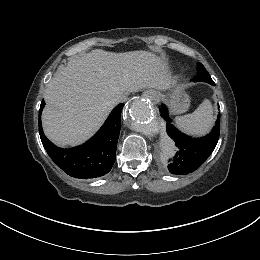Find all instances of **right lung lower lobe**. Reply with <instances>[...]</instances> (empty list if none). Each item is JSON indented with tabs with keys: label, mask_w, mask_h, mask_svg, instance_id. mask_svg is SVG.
Returning <instances> with one entry per match:
<instances>
[{
	"label": "right lung lower lobe",
	"mask_w": 260,
	"mask_h": 260,
	"mask_svg": "<svg viewBox=\"0 0 260 260\" xmlns=\"http://www.w3.org/2000/svg\"><path fill=\"white\" fill-rule=\"evenodd\" d=\"M44 106L45 102L42 101L39 110V134L53 162L75 178H96L108 173L116 159L124 104H119L113 109L103 126L90 140L70 149L56 147L43 134L40 115Z\"/></svg>",
	"instance_id": "right-lung-lower-lobe-1"
}]
</instances>
